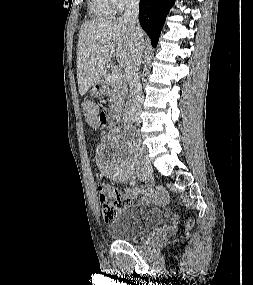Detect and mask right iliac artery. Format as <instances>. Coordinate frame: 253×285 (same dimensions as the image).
Wrapping results in <instances>:
<instances>
[{
  "label": "right iliac artery",
  "mask_w": 253,
  "mask_h": 285,
  "mask_svg": "<svg viewBox=\"0 0 253 285\" xmlns=\"http://www.w3.org/2000/svg\"><path fill=\"white\" fill-rule=\"evenodd\" d=\"M129 184H130L131 186H135L136 182H135L134 178H130V179H129Z\"/></svg>",
  "instance_id": "right-iliac-artery-1"
}]
</instances>
